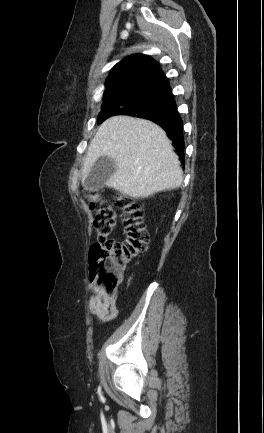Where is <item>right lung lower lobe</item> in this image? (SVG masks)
<instances>
[{"label": "right lung lower lobe", "instance_id": "obj_1", "mask_svg": "<svg viewBox=\"0 0 264 433\" xmlns=\"http://www.w3.org/2000/svg\"><path fill=\"white\" fill-rule=\"evenodd\" d=\"M126 115L145 118L161 126L174 142L179 155L184 156L183 122L168 80L161 70L141 87L138 99L131 103L130 112Z\"/></svg>", "mask_w": 264, "mask_h": 433}]
</instances>
